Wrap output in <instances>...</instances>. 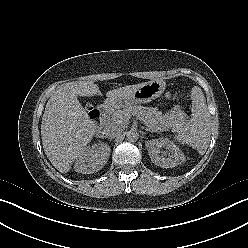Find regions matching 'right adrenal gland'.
Instances as JSON below:
<instances>
[{
    "label": "right adrenal gland",
    "mask_w": 248,
    "mask_h": 248,
    "mask_svg": "<svg viewBox=\"0 0 248 248\" xmlns=\"http://www.w3.org/2000/svg\"><path fill=\"white\" fill-rule=\"evenodd\" d=\"M105 138H107V137H105ZM112 140V138H109V141H111Z\"/></svg>",
    "instance_id": "obj_1"
}]
</instances>
